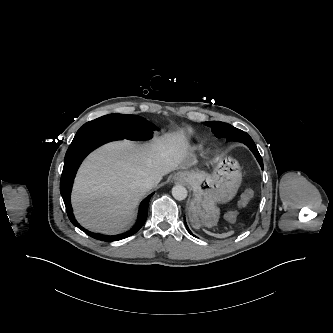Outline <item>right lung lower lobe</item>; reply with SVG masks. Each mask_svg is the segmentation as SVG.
Masks as SVG:
<instances>
[{
    "instance_id": "98d812e1",
    "label": "right lung lower lobe",
    "mask_w": 333,
    "mask_h": 333,
    "mask_svg": "<svg viewBox=\"0 0 333 333\" xmlns=\"http://www.w3.org/2000/svg\"><path fill=\"white\" fill-rule=\"evenodd\" d=\"M123 137L108 133L105 131L91 130L86 133L75 135L72 143L70 144L64 159V167L60 181V192L66 207V211L70 221L79 229L84 231L90 237L102 241H117L127 238L136 233L146 221L148 215V203L153 194L149 195L140 205L139 216L135 226L126 233L106 236L98 233H92L82 228L75 220L70 204V193L76 171L81 164L82 160L94 149L104 143L113 140H120Z\"/></svg>"
}]
</instances>
